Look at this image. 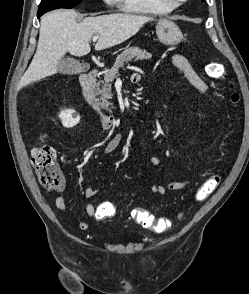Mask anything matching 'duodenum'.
<instances>
[{
    "label": "duodenum",
    "instance_id": "duodenum-1",
    "mask_svg": "<svg viewBox=\"0 0 249 294\" xmlns=\"http://www.w3.org/2000/svg\"><path fill=\"white\" fill-rule=\"evenodd\" d=\"M98 74V69H91L83 72L79 77L80 92L87 106L93 110L100 118L101 124L106 130H111L119 125L116 116L108 115L103 112L101 101L95 93L93 80Z\"/></svg>",
    "mask_w": 249,
    "mask_h": 294
}]
</instances>
